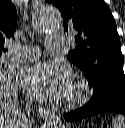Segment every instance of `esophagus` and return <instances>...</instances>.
Instances as JSON below:
<instances>
[{"instance_id": "34e87169", "label": "esophagus", "mask_w": 125, "mask_h": 128, "mask_svg": "<svg viewBox=\"0 0 125 128\" xmlns=\"http://www.w3.org/2000/svg\"><path fill=\"white\" fill-rule=\"evenodd\" d=\"M38 113L42 118H48L50 116V111L46 108L39 107Z\"/></svg>"}]
</instances>
